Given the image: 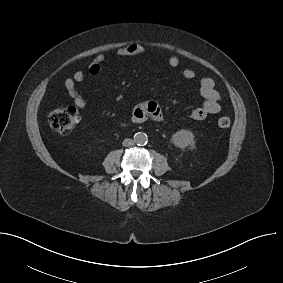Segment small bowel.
<instances>
[{"label":"small bowel","instance_id":"small-bowel-1","mask_svg":"<svg viewBox=\"0 0 283 283\" xmlns=\"http://www.w3.org/2000/svg\"><path fill=\"white\" fill-rule=\"evenodd\" d=\"M145 52L146 48L143 45L132 43L118 49L116 54L118 57H130L141 55ZM104 61L105 55H97L89 64L88 72L91 75H98L102 70ZM167 63L170 67L175 68L179 65V58L175 55H171L168 57ZM85 76L83 70H77L71 77L66 78L64 81V86L68 95L79 108H85L87 105V101L76 88L77 84L82 83L85 80ZM182 76L187 80H191L195 77V72L191 68H185L182 71ZM199 91L203 98V102L191 112V118L197 121L204 120L208 115L220 112L222 99L220 92L215 88L214 81L209 77L200 80ZM149 118L155 121H161L163 119L162 112L157 102L145 101L134 107L132 111V120L134 122L141 123Z\"/></svg>","mask_w":283,"mask_h":283}]
</instances>
